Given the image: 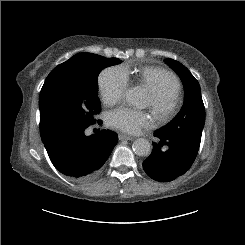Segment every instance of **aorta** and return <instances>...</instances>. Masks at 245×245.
Listing matches in <instances>:
<instances>
[{"label":"aorta","mask_w":245,"mask_h":245,"mask_svg":"<svg viewBox=\"0 0 245 245\" xmlns=\"http://www.w3.org/2000/svg\"><path fill=\"white\" fill-rule=\"evenodd\" d=\"M127 103L142 108L145 103L144 94L139 88L128 89L125 93ZM134 153L138 156H148L151 153V144L144 138L136 139L132 144Z\"/></svg>","instance_id":"762f6f07"}]
</instances>
